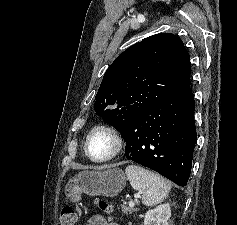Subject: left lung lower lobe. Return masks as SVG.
<instances>
[{
	"instance_id": "1",
	"label": "left lung lower lobe",
	"mask_w": 237,
	"mask_h": 225,
	"mask_svg": "<svg viewBox=\"0 0 237 225\" xmlns=\"http://www.w3.org/2000/svg\"><path fill=\"white\" fill-rule=\"evenodd\" d=\"M122 136L128 160L184 187L190 176L196 143L194 98L190 88L146 110Z\"/></svg>"
}]
</instances>
